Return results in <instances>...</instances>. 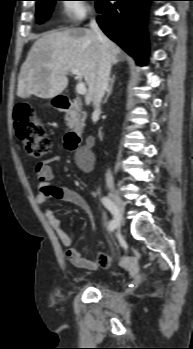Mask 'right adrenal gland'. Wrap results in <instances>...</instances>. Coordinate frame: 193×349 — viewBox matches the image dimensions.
<instances>
[{
  "instance_id": "2a0ac1e0",
  "label": "right adrenal gland",
  "mask_w": 193,
  "mask_h": 349,
  "mask_svg": "<svg viewBox=\"0 0 193 349\" xmlns=\"http://www.w3.org/2000/svg\"><path fill=\"white\" fill-rule=\"evenodd\" d=\"M114 82H115V75H113L112 78L110 79V85H109V87L107 89V95H106L103 103H106L108 98L110 97V95L112 93V90H113Z\"/></svg>"
}]
</instances>
